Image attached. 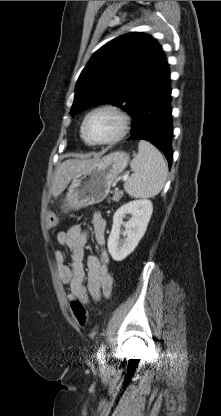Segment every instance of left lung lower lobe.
I'll return each instance as SVG.
<instances>
[{
  "label": "left lung lower lobe",
  "mask_w": 221,
  "mask_h": 416,
  "mask_svg": "<svg viewBox=\"0 0 221 416\" xmlns=\"http://www.w3.org/2000/svg\"><path fill=\"white\" fill-rule=\"evenodd\" d=\"M170 72L165 58L162 69L152 87L138 103L132 121V135L128 140H146L165 155L169 168L172 163V108Z\"/></svg>",
  "instance_id": "1"
}]
</instances>
